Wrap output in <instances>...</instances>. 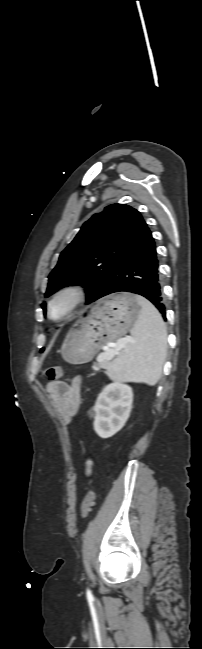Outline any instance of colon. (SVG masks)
Here are the masks:
<instances>
[{
  "label": "colon",
  "mask_w": 202,
  "mask_h": 649,
  "mask_svg": "<svg viewBox=\"0 0 202 649\" xmlns=\"http://www.w3.org/2000/svg\"><path fill=\"white\" fill-rule=\"evenodd\" d=\"M63 374H64V369L60 365L50 366L46 370V378L50 382L58 381L60 378L63 377ZM95 499H96V493L93 490H90L86 494V496H85V498H84V500L82 502L81 513H80L81 519H85L89 515V513H90V511H91V509H92V507H93V505L95 503Z\"/></svg>",
  "instance_id": "colon-1"
}]
</instances>
